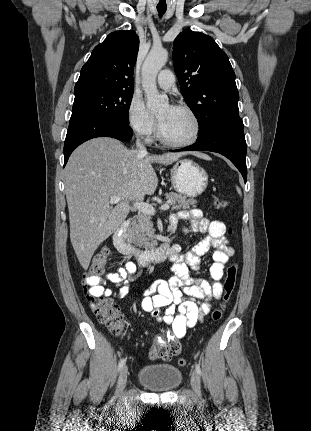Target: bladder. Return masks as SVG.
Segmentation results:
<instances>
[{"label":"bladder","instance_id":"31cf9c89","mask_svg":"<svg viewBox=\"0 0 311 431\" xmlns=\"http://www.w3.org/2000/svg\"><path fill=\"white\" fill-rule=\"evenodd\" d=\"M140 384L156 392L175 390L182 381V373L172 364H149L140 368L137 374Z\"/></svg>","mask_w":311,"mask_h":431}]
</instances>
